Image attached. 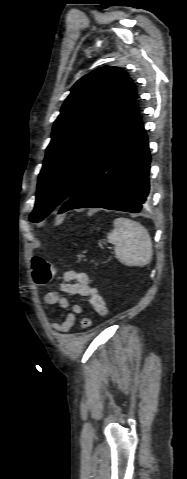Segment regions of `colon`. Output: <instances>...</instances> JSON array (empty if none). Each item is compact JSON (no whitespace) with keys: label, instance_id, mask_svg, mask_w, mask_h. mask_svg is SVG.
<instances>
[{"label":"colon","instance_id":"colon-1","mask_svg":"<svg viewBox=\"0 0 187 479\" xmlns=\"http://www.w3.org/2000/svg\"><path fill=\"white\" fill-rule=\"evenodd\" d=\"M32 276L36 284L45 285L48 284L54 275V264L46 261L45 259L34 256L30 262ZM82 329H88L92 326V319L85 316L80 321Z\"/></svg>","mask_w":187,"mask_h":479}]
</instances>
